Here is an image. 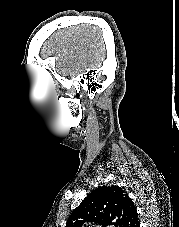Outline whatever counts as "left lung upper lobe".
Here are the masks:
<instances>
[{"instance_id":"1","label":"left lung upper lobe","mask_w":179,"mask_h":227,"mask_svg":"<svg viewBox=\"0 0 179 227\" xmlns=\"http://www.w3.org/2000/svg\"><path fill=\"white\" fill-rule=\"evenodd\" d=\"M116 227H138L136 207L119 186H101L90 192L72 212L66 227H82L85 222Z\"/></svg>"}]
</instances>
